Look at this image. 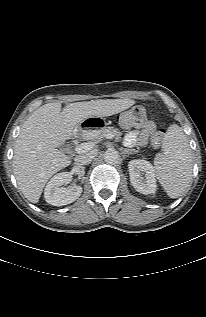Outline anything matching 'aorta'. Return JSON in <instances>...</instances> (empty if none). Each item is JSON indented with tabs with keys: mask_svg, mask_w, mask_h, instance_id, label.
Listing matches in <instances>:
<instances>
[{
	"mask_svg": "<svg viewBox=\"0 0 206 317\" xmlns=\"http://www.w3.org/2000/svg\"><path fill=\"white\" fill-rule=\"evenodd\" d=\"M119 153L114 149H109L104 154V160L107 164L114 165L119 161Z\"/></svg>",
	"mask_w": 206,
	"mask_h": 317,
	"instance_id": "1",
	"label": "aorta"
}]
</instances>
